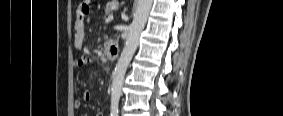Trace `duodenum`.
Instances as JSON below:
<instances>
[{
	"label": "duodenum",
	"mask_w": 283,
	"mask_h": 116,
	"mask_svg": "<svg viewBox=\"0 0 283 116\" xmlns=\"http://www.w3.org/2000/svg\"><path fill=\"white\" fill-rule=\"evenodd\" d=\"M106 51L109 59L114 60L117 58L118 47L115 44L108 42L106 46Z\"/></svg>",
	"instance_id": "obj_1"
}]
</instances>
